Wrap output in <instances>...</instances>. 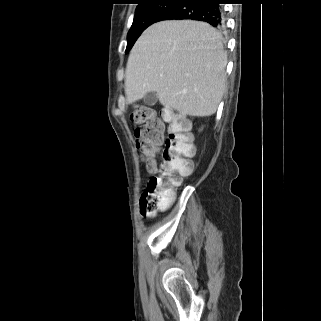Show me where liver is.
<instances>
[{"mask_svg":"<svg viewBox=\"0 0 321 321\" xmlns=\"http://www.w3.org/2000/svg\"><path fill=\"white\" fill-rule=\"evenodd\" d=\"M226 64L221 35L209 24L191 20L155 23L142 33L129 55L127 102L156 92L167 109L211 116L225 90Z\"/></svg>","mask_w":321,"mask_h":321,"instance_id":"1","label":"liver"}]
</instances>
